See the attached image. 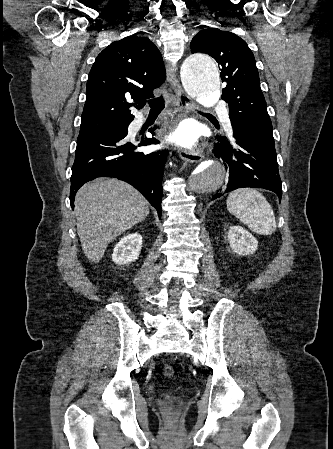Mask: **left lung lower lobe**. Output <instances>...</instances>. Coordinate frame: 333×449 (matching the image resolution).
I'll return each instance as SVG.
<instances>
[{
  "instance_id": "1",
  "label": "left lung lower lobe",
  "mask_w": 333,
  "mask_h": 449,
  "mask_svg": "<svg viewBox=\"0 0 333 449\" xmlns=\"http://www.w3.org/2000/svg\"><path fill=\"white\" fill-rule=\"evenodd\" d=\"M233 141L220 135V145L216 156L221 158L229 169V182L225 192L242 187L264 188L282 196V183L274 139L268 135L248 128L232 126ZM218 191L211 200L221 197Z\"/></svg>"
}]
</instances>
